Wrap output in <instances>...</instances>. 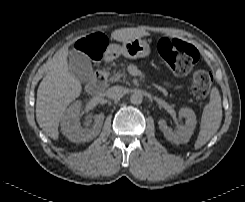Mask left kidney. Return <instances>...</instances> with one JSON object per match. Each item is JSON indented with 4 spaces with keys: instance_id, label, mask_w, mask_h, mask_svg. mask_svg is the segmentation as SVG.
Returning <instances> with one entry per match:
<instances>
[{
    "instance_id": "5707ae66",
    "label": "left kidney",
    "mask_w": 245,
    "mask_h": 202,
    "mask_svg": "<svg viewBox=\"0 0 245 202\" xmlns=\"http://www.w3.org/2000/svg\"><path fill=\"white\" fill-rule=\"evenodd\" d=\"M179 116L184 117L185 124L180 125L175 132L172 131L164 119L158 121V125L161 131H163L164 137L175 144L187 143L193 134L196 127L197 120L194 111L190 108H181L179 110Z\"/></svg>"
}]
</instances>
